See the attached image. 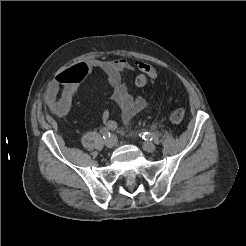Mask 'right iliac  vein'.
<instances>
[{"mask_svg": "<svg viewBox=\"0 0 246 246\" xmlns=\"http://www.w3.org/2000/svg\"><path fill=\"white\" fill-rule=\"evenodd\" d=\"M105 145L108 147V148H112L114 147L115 145V140L113 138H107L105 140Z\"/></svg>", "mask_w": 246, "mask_h": 246, "instance_id": "right-iliac-vein-1", "label": "right iliac vein"}]
</instances>
